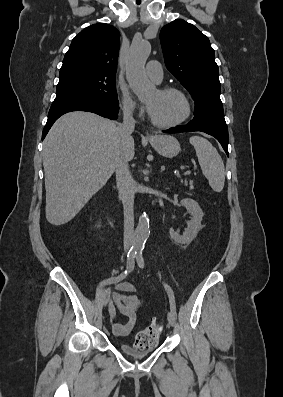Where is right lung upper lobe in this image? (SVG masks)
<instances>
[{
  "label": "right lung upper lobe",
  "mask_w": 283,
  "mask_h": 397,
  "mask_svg": "<svg viewBox=\"0 0 283 397\" xmlns=\"http://www.w3.org/2000/svg\"><path fill=\"white\" fill-rule=\"evenodd\" d=\"M119 47L120 33L115 27L105 23L90 25L73 38L60 74L115 77Z\"/></svg>",
  "instance_id": "cb5924a9"
}]
</instances>
